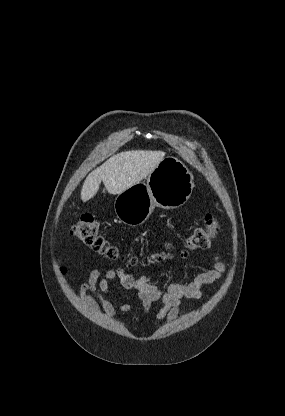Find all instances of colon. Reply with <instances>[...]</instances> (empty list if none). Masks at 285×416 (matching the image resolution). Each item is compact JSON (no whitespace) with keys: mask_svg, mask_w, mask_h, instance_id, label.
<instances>
[{"mask_svg":"<svg viewBox=\"0 0 285 416\" xmlns=\"http://www.w3.org/2000/svg\"><path fill=\"white\" fill-rule=\"evenodd\" d=\"M220 232V225L217 219L207 214L203 227L196 228L188 237L186 247L192 251H201L207 249L212 240ZM72 235L84 245L101 254L110 260L121 259L118 248L112 245L101 233L97 220L89 214L83 215L73 226ZM163 259V254L155 253L147 257L151 263L159 262Z\"/></svg>","mask_w":285,"mask_h":416,"instance_id":"obj_1","label":"colon"}]
</instances>
